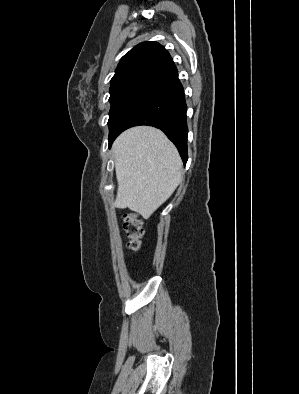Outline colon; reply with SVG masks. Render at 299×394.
Listing matches in <instances>:
<instances>
[{"instance_id": "colon-1", "label": "colon", "mask_w": 299, "mask_h": 394, "mask_svg": "<svg viewBox=\"0 0 299 394\" xmlns=\"http://www.w3.org/2000/svg\"><path fill=\"white\" fill-rule=\"evenodd\" d=\"M124 225L129 237V248L133 251L139 250L144 233L142 222L136 216L129 214L124 218Z\"/></svg>"}]
</instances>
